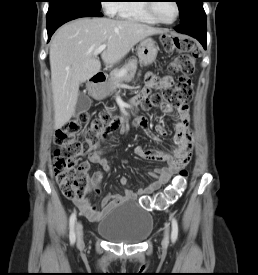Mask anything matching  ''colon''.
<instances>
[{
  "label": "colon",
  "instance_id": "obj_1",
  "mask_svg": "<svg viewBox=\"0 0 258 275\" xmlns=\"http://www.w3.org/2000/svg\"><path fill=\"white\" fill-rule=\"evenodd\" d=\"M161 43L166 52L179 53L170 63L169 70L182 76L172 90L157 91L150 97L142 98L141 105L145 109L161 107L164 111H170L191 99L193 83L189 76L194 73L198 55L195 43L189 37L164 34ZM86 125L88 126L84 128ZM120 126L121 120L108 111H101L92 119L87 111H81L56 132L54 172L66 198L85 199L92 177L88 173L89 163L82 162L81 157L99 146L106 136L118 130ZM187 180L188 171L183 168L162 191L152 196H141L140 206L149 211L166 209L181 196Z\"/></svg>",
  "mask_w": 258,
  "mask_h": 275
}]
</instances>
